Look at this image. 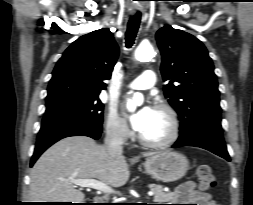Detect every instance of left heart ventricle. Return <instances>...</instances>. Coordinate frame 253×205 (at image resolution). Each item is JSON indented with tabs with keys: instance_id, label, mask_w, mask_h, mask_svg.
I'll return each mask as SVG.
<instances>
[{
	"instance_id": "obj_1",
	"label": "left heart ventricle",
	"mask_w": 253,
	"mask_h": 205,
	"mask_svg": "<svg viewBox=\"0 0 253 205\" xmlns=\"http://www.w3.org/2000/svg\"><path fill=\"white\" fill-rule=\"evenodd\" d=\"M170 132V123L166 114L154 109L146 127L139 133L145 139L158 141L166 138Z\"/></svg>"
}]
</instances>
